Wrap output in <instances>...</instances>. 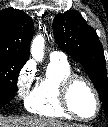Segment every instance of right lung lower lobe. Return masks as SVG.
Segmentation results:
<instances>
[{"label":"right lung lower lobe","mask_w":108,"mask_h":127,"mask_svg":"<svg viewBox=\"0 0 108 127\" xmlns=\"http://www.w3.org/2000/svg\"><path fill=\"white\" fill-rule=\"evenodd\" d=\"M12 99L9 98H0V107L6 105L8 102H10Z\"/></svg>","instance_id":"right-lung-lower-lobe-1"}]
</instances>
